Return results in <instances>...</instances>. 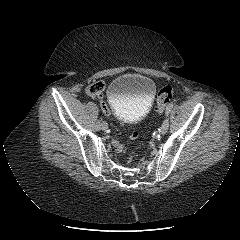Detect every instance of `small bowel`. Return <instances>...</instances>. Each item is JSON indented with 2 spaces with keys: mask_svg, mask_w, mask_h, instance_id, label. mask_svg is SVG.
<instances>
[{
  "mask_svg": "<svg viewBox=\"0 0 240 240\" xmlns=\"http://www.w3.org/2000/svg\"><path fill=\"white\" fill-rule=\"evenodd\" d=\"M98 101L99 103V108L102 111V117L106 118V121L108 123H112L114 121V118L111 116L110 109L106 105L105 101V94L104 93H98ZM129 139L131 141H137L139 139V132L137 130H132L129 134ZM113 145L116 149L117 152L122 153L125 151V144L122 142L114 141Z\"/></svg>",
  "mask_w": 240,
  "mask_h": 240,
  "instance_id": "small-bowel-1",
  "label": "small bowel"
}]
</instances>
